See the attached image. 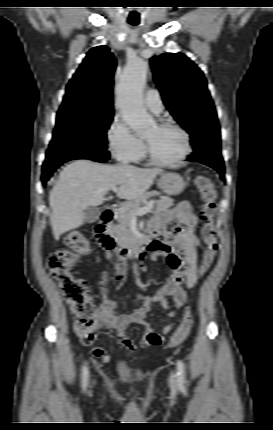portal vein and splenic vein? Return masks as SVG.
I'll return each instance as SVG.
<instances>
[{"instance_id": "obj_1", "label": "portal vein and splenic vein", "mask_w": 273, "mask_h": 430, "mask_svg": "<svg viewBox=\"0 0 273 430\" xmlns=\"http://www.w3.org/2000/svg\"><path fill=\"white\" fill-rule=\"evenodd\" d=\"M113 192H117L118 188L117 187H112L111 188ZM155 201L151 200L146 206L140 208L139 210H137L133 216H132V220L136 219V216H143L144 214L151 212L153 205H154Z\"/></svg>"}]
</instances>
